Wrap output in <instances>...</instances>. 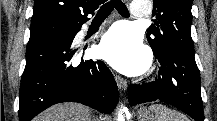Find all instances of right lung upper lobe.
<instances>
[{
	"label": "right lung upper lobe",
	"instance_id": "right-lung-upper-lobe-1",
	"mask_svg": "<svg viewBox=\"0 0 217 121\" xmlns=\"http://www.w3.org/2000/svg\"><path fill=\"white\" fill-rule=\"evenodd\" d=\"M106 0H35L32 22L59 20L71 24H82L88 20L100 4Z\"/></svg>",
	"mask_w": 217,
	"mask_h": 121
}]
</instances>
